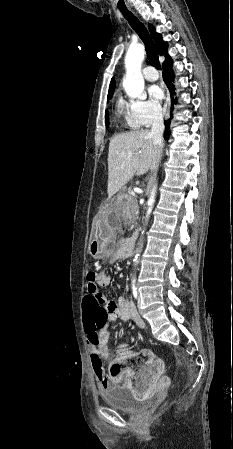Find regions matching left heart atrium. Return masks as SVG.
<instances>
[{
  "label": "left heart atrium",
  "instance_id": "39dd6f15",
  "mask_svg": "<svg viewBox=\"0 0 233 449\" xmlns=\"http://www.w3.org/2000/svg\"><path fill=\"white\" fill-rule=\"evenodd\" d=\"M148 93L150 97L155 101H160L163 97L162 90L157 85H152L148 88Z\"/></svg>",
  "mask_w": 233,
  "mask_h": 449
}]
</instances>
